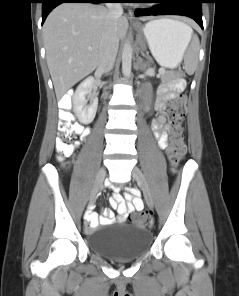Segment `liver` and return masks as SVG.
<instances>
[{
	"label": "liver",
	"instance_id": "obj_1",
	"mask_svg": "<svg viewBox=\"0 0 239 296\" xmlns=\"http://www.w3.org/2000/svg\"><path fill=\"white\" fill-rule=\"evenodd\" d=\"M127 30V17L113 19L102 5L63 3L56 7L43 26L46 60L56 97L60 99L96 69L100 47L108 33H114L119 40Z\"/></svg>",
	"mask_w": 239,
	"mask_h": 296
}]
</instances>
